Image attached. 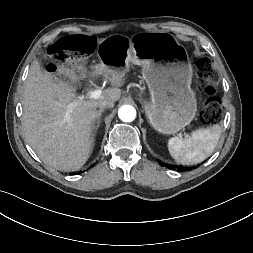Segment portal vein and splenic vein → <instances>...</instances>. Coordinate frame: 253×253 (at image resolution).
<instances>
[{"label": "portal vein and splenic vein", "mask_w": 253, "mask_h": 253, "mask_svg": "<svg viewBox=\"0 0 253 253\" xmlns=\"http://www.w3.org/2000/svg\"><path fill=\"white\" fill-rule=\"evenodd\" d=\"M101 90L100 89H95L92 91H89L87 96L89 99H99L101 97Z\"/></svg>", "instance_id": "obj_1"}]
</instances>
